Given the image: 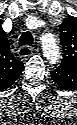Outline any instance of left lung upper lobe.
<instances>
[{
	"instance_id": "1",
	"label": "left lung upper lobe",
	"mask_w": 77,
	"mask_h": 125,
	"mask_svg": "<svg viewBox=\"0 0 77 125\" xmlns=\"http://www.w3.org/2000/svg\"><path fill=\"white\" fill-rule=\"evenodd\" d=\"M60 33L61 44L64 51L63 59L60 65L71 68L75 67L77 66V19L74 17L64 19L60 27ZM70 74L71 72L59 73V75L63 76L57 75L52 77V79L61 88L68 89L71 87Z\"/></svg>"
}]
</instances>
